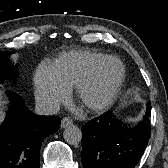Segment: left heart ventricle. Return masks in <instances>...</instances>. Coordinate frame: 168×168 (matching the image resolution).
Segmentation results:
<instances>
[{"label": "left heart ventricle", "mask_w": 168, "mask_h": 168, "mask_svg": "<svg viewBox=\"0 0 168 168\" xmlns=\"http://www.w3.org/2000/svg\"><path fill=\"white\" fill-rule=\"evenodd\" d=\"M118 74L117 66L109 63L100 73L97 82L87 91L86 98L88 101L94 102L99 100Z\"/></svg>", "instance_id": "b2bd125f"}]
</instances>
